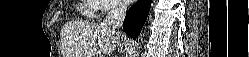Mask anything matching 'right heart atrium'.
I'll return each mask as SVG.
<instances>
[{"instance_id":"1","label":"right heart atrium","mask_w":249,"mask_h":57,"mask_svg":"<svg viewBox=\"0 0 249 57\" xmlns=\"http://www.w3.org/2000/svg\"><path fill=\"white\" fill-rule=\"evenodd\" d=\"M97 5V11L100 12V14H109L113 11H116L120 7V3L117 0H94Z\"/></svg>"}]
</instances>
